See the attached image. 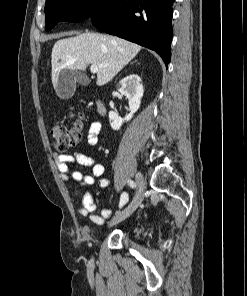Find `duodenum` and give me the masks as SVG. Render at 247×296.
<instances>
[{
    "label": "duodenum",
    "instance_id": "1",
    "mask_svg": "<svg viewBox=\"0 0 247 296\" xmlns=\"http://www.w3.org/2000/svg\"><path fill=\"white\" fill-rule=\"evenodd\" d=\"M97 111L99 114H105L106 112V107L102 101L97 102Z\"/></svg>",
    "mask_w": 247,
    "mask_h": 296
}]
</instances>
